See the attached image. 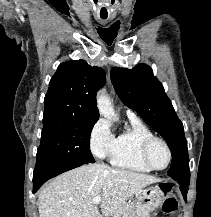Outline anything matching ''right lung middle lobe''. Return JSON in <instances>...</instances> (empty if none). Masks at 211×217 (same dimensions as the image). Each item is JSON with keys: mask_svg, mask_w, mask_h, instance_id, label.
<instances>
[{"mask_svg": "<svg viewBox=\"0 0 211 217\" xmlns=\"http://www.w3.org/2000/svg\"><path fill=\"white\" fill-rule=\"evenodd\" d=\"M97 120L73 117H52L43 120L36 166L53 163H93L89 141Z\"/></svg>", "mask_w": 211, "mask_h": 217, "instance_id": "obj_1", "label": "right lung middle lobe"}]
</instances>
